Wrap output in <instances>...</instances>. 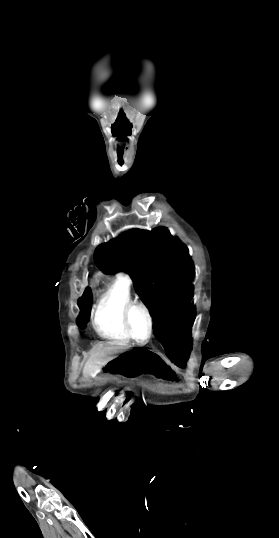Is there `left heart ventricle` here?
Masks as SVG:
<instances>
[{"label":"left heart ventricle","instance_id":"left-heart-ventricle-1","mask_svg":"<svg viewBox=\"0 0 279 538\" xmlns=\"http://www.w3.org/2000/svg\"><path fill=\"white\" fill-rule=\"evenodd\" d=\"M106 209L113 210L116 207H105ZM131 329L133 335L138 340H145L148 336L149 328L147 318L140 310H134L131 314Z\"/></svg>","mask_w":279,"mask_h":538}]
</instances>
